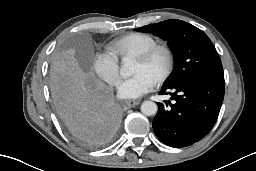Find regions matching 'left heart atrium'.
Segmentation results:
<instances>
[{"label":"left heart atrium","mask_w":256,"mask_h":171,"mask_svg":"<svg viewBox=\"0 0 256 171\" xmlns=\"http://www.w3.org/2000/svg\"><path fill=\"white\" fill-rule=\"evenodd\" d=\"M154 84V81L146 74L137 73L121 80L117 86V92L121 98H139L152 90Z\"/></svg>","instance_id":"1"}]
</instances>
